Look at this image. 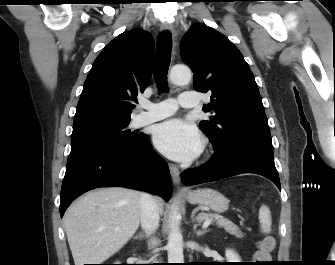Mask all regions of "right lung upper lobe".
Listing matches in <instances>:
<instances>
[{
	"label": "right lung upper lobe",
	"mask_w": 335,
	"mask_h": 265,
	"mask_svg": "<svg viewBox=\"0 0 335 265\" xmlns=\"http://www.w3.org/2000/svg\"><path fill=\"white\" fill-rule=\"evenodd\" d=\"M152 37L138 29L112 40L95 59L85 80L73 127L130 121L136 96L151 80Z\"/></svg>",
	"instance_id": "obj_1"
}]
</instances>
